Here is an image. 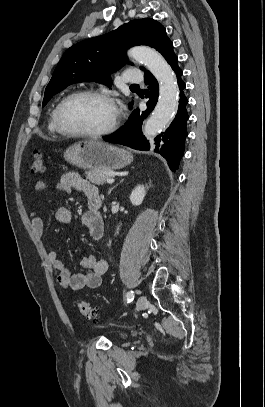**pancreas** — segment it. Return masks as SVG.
I'll use <instances>...</instances> for the list:
<instances>
[{
  "instance_id": "cf45deb5",
  "label": "pancreas",
  "mask_w": 265,
  "mask_h": 407,
  "mask_svg": "<svg viewBox=\"0 0 265 407\" xmlns=\"http://www.w3.org/2000/svg\"><path fill=\"white\" fill-rule=\"evenodd\" d=\"M85 175L86 179L96 185H103L111 177L110 174L102 170H90L85 172Z\"/></svg>"
}]
</instances>
